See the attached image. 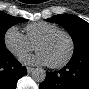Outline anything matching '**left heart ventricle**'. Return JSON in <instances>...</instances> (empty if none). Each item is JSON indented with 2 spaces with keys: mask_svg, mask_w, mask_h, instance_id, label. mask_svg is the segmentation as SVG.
I'll return each instance as SVG.
<instances>
[{
  "mask_svg": "<svg viewBox=\"0 0 89 89\" xmlns=\"http://www.w3.org/2000/svg\"><path fill=\"white\" fill-rule=\"evenodd\" d=\"M38 51L46 55L49 63L61 62L69 52V41L64 35H57L51 40L39 45Z\"/></svg>",
  "mask_w": 89,
  "mask_h": 89,
  "instance_id": "b2bd125f",
  "label": "left heart ventricle"
}]
</instances>
